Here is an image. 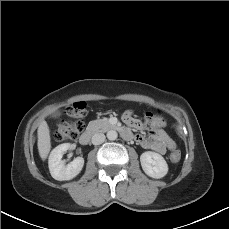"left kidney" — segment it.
Masks as SVG:
<instances>
[{"instance_id": "5707ae66", "label": "left kidney", "mask_w": 229, "mask_h": 229, "mask_svg": "<svg viewBox=\"0 0 229 229\" xmlns=\"http://www.w3.org/2000/svg\"><path fill=\"white\" fill-rule=\"evenodd\" d=\"M140 162L143 171L152 178H163L168 172L167 162L158 153L146 151L141 154Z\"/></svg>"}]
</instances>
